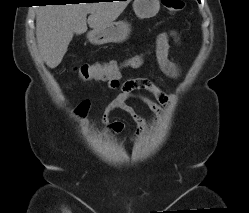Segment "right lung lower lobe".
<instances>
[{
	"instance_id": "obj_1",
	"label": "right lung lower lobe",
	"mask_w": 249,
	"mask_h": 213,
	"mask_svg": "<svg viewBox=\"0 0 249 213\" xmlns=\"http://www.w3.org/2000/svg\"><path fill=\"white\" fill-rule=\"evenodd\" d=\"M66 0H47V2H53V3H60V4H63L65 3ZM126 1V0H125ZM44 2V1H42Z\"/></svg>"
}]
</instances>
